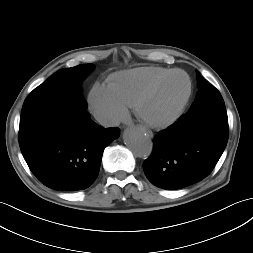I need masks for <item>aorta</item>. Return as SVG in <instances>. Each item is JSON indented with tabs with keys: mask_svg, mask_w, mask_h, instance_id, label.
I'll list each match as a JSON object with an SVG mask.
<instances>
[{
	"mask_svg": "<svg viewBox=\"0 0 253 253\" xmlns=\"http://www.w3.org/2000/svg\"><path fill=\"white\" fill-rule=\"evenodd\" d=\"M124 142L126 146L138 157L145 158L152 153V140L140 129H127L124 134Z\"/></svg>",
	"mask_w": 253,
	"mask_h": 253,
	"instance_id": "762f6f07",
	"label": "aorta"
}]
</instances>
